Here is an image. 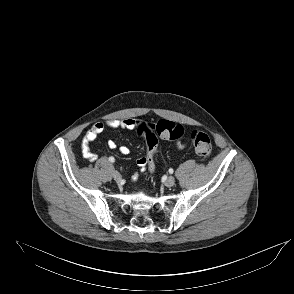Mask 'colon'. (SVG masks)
Masks as SVG:
<instances>
[{
    "label": "colon",
    "mask_w": 294,
    "mask_h": 294,
    "mask_svg": "<svg viewBox=\"0 0 294 294\" xmlns=\"http://www.w3.org/2000/svg\"><path fill=\"white\" fill-rule=\"evenodd\" d=\"M139 135L144 136L146 144V159L151 168H154L157 156V138L159 136L169 139L177 140L184 134L182 126L167 120H160L158 123H149L139 121L135 128ZM190 140L194 146L196 154L202 158H208L212 152V144L209 136L199 130H193L190 133Z\"/></svg>",
    "instance_id": "colon-1"
}]
</instances>
